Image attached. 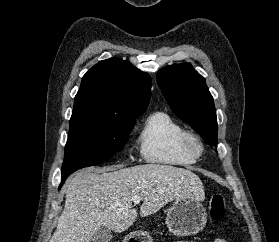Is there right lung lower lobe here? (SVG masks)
<instances>
[{
  "label": "right lung lower lobe",
  "instance_id": "obj_1",
  "mask_svg": "<svg viewBox=\"0 0 279 242\" xmlns=\"http://www.w3.org/2000/svg\"><path fill=\"white\" fill-rule=\"evenodd\" d=\"M66 178H67V177H66ZM66 178H63V179H62L61 184H60V186H59V189L62 187V185H63V183H64V181H65Z\"/></svg>",
  "mask_w": 279,
  "mask_h": 242
}]
</instances>
